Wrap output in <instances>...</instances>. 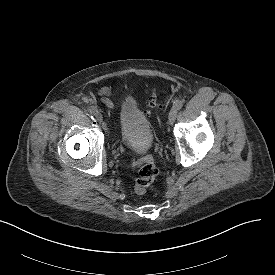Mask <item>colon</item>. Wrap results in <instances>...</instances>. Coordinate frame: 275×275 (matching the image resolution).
<instances>
[{"label":"colon","mask_w":275,"mask_h":275,"mask_svg":"<svg viewBox=\"0 0 275 275\" xmlns=\"http://www.w3.org/2000/svg\"><path fill=\"white\" fill-rule=\"evenodd\" d=\"M159 99L155 93H152L148 99L147 106L149 111L159 108ZM134 166H139L138 177L134 184V191L137 194H144L147 192L150 185L153 183L158 170L153 156H145L134 160Z\"/></svg>","instance_id":"5ec220e1"}]
</instances>
